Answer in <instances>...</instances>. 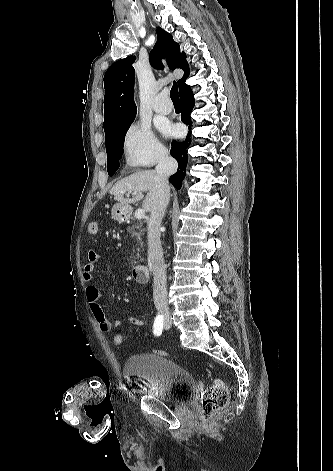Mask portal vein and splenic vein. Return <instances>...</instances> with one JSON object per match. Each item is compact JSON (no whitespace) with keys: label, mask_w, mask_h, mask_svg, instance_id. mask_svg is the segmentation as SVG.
I'll return each instance as SVG.
<instances>
[{"label":"portal vein and splenic vein","mask_w":333,"mask_h":471,"mask_svg":"<svg viewBox=\"0 0 333 471\" xmlns=\"http://www.w3.org/2000/svg\"><path fill=\"white\" fill-rule=\"evenodd\" d=\"M130 194L132 195H138L139 192L137 191H134V192H128L127 193V196H129ZM135 217L137 219H143L145 217V210L144 209H137L136 212H135Z\"/></svg>","instance_id":"portal-vein-and-splenic-vein-1"}]
</instances>
